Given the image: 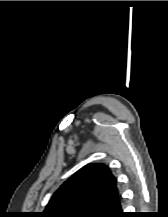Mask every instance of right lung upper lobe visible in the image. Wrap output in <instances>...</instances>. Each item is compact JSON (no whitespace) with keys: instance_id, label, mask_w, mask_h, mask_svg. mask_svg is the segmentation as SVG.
<instances>
[{"instance_id":"obj_1","label":"right lung upper lobe","mask_w":168,"mask_h":217,"mask_svg":"<svg viewBox=\"0 0 168 217\" xmlns=\"http://www.w3.org/2000/svg\"><path fill=\"white\" fill-rule=\"evenodd\" d=\"M121 208L116 180L104 164H89L54 193L40 217H110Z\"/></svg>"}]
</instances>
